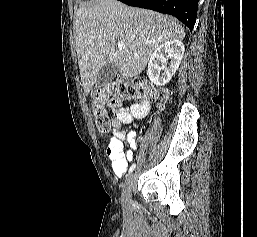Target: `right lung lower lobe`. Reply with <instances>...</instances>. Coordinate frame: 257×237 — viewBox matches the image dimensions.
I'll use <instances>...</instances> for the list:
<instances>
[{
	"mask_svg": "<svg viewBox=\"0 0 257 237\" xmlns=\"http://www.w3.org/2000/svg\"><path fill=\"white\" fill-rule=\"evenodd\" d=\"M129 6L151 9L163 14L175 16L190 31L196 22L199 0H119Z\"/></svg>",
	"mask_w": 257,
	"mask_h": 237,
	"instance_id": "1",
	"label": "right lung lower lobe"
}]
</instances>
